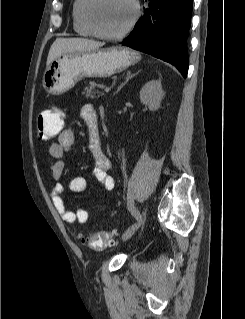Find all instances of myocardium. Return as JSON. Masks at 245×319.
Instances as JSON below:
<instances>
[{
  "mask_svg": "<svg viewBox=\"0 0 245 319\" xmlns=\"http://www.w3.org/2000/svg\"><path fill=\"white\" fill-rule=\"evenodd\" d=\"M99 0H87L84 7V16L88 26L94 32L97 37L107 39V40H118L126 36L135 26L140 16V6L137 0H129L133 8V15L130 22L117 33H107L104 32L96 23L94 18V8Z\"/></svg>",
  "mask_w": 245,
  "mask_h": 319,
  "instance_id": "1",
  "label": "myocardium"
}]
</instances>
